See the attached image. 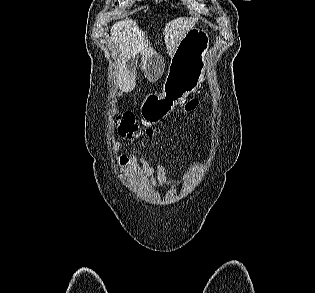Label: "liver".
<instances>
[{
	"mask_svg": "<svg viewBox=\"0 0 315 293\" xmlns=\"http://www.w3.org/2000/svg\"><path fill=\"white\" fill-rule=\"evenodd\" d=\"M196 22L195 18L179 17L166 23L163 34L170 57L173 56L182 37ZM111 39L117 50V65L121 74L119 87L122 91H131L135 87V78L125 70L126 62L135 59L139 54L142 58L149 59L155 54V50L151 47L145 32L131 19L116 22L111 28Z\"/></svg>",
	"mask_w": 315,
	"mask_h": 293,
	"instance_id": "obj_1",
	"label": "liver"
}]
</instances>
